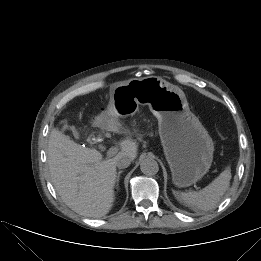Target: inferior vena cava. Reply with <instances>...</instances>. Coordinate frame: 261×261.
Returning a JSON list of instances; mask_svg holds the SVG:
<instances>
[{
    "label": "inferior vena cava",
    "mask_w": 261,
    "mask_h": 261,
    "mask_svg": "<svg viewBox=\"0 0 261 261\" xmlns=\"http://www.w3.org/2000/svg\"><path fill=\"white\" fill-rule=\"evenodd\" d=\"M131 162V157L126 154H120L116 157V166L120 169L127 168Z\"/></svg>",
    "instance_id": "inferior-vena-cava-1"
}]
</instances>
